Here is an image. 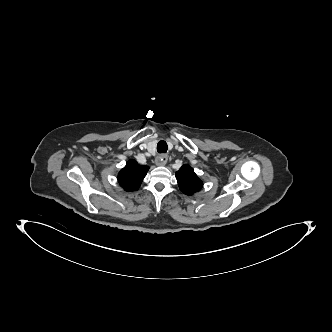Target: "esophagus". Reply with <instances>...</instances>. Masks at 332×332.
I'll return each instance as SVG.
<instances>
[{"label":"esophagus","mask_w":332,"mask_h":332,"mask_svg":"<svg viewBox=\"0 0 332 332\" xmlns=\"http://www.w3.org/2000/svg\"><path fill=\"white\" fill-rule=\"evenodd\" d=\"M168 156L166 154H160L156 157L155 163L159 166H164L167 163Z\"/></svg>","instance_id":"esophagus-1"}]
</instances>
